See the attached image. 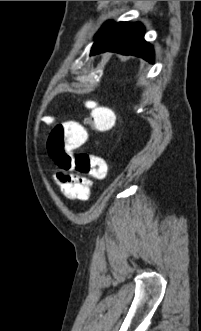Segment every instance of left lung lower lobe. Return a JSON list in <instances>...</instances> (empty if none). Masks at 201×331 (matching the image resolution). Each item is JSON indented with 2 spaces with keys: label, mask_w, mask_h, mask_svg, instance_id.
Here are the masks:
<instances>
[{
  "label": "left lung lower lobe",
  "mask_w": 201,
  "mask_h": 331,
  "mask_svg": "<svg viewBox=\"0 0 201 331\" xmlns=\"http://www.w3.org/2000/svg\"><path fill=\"white\" fill-rule=\"evenodd\" d=\"M112 51L135 55L154 62L152 46L144 40V27L140 23L108 21L95 36L91 55Z\"/></svg>",
  "instance_id": "0a47b994"
}]
</instances>
